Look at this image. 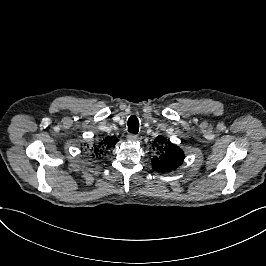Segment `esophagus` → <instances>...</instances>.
<instances>
[{
    "instance_id": "34e87169",
    "label": "esophagus",
    "mask_w": 266,
    "mask_h": 266,
    "mask_svg": "<svg viewBox=\"0 0 266 266\" xmlns=\"http://www.w3.org/2000/svg\"><path fill=\"white\" fill-rule=\"evenodd\" d=\"M127 140L131 141V142H134V141L138 140V136L135 135V134H128L127 135Z\"/></svg>"
}]
</instances>
